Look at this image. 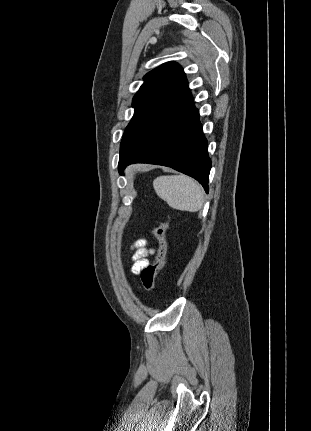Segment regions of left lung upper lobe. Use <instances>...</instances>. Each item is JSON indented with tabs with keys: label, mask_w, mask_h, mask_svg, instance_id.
<instances>
[{
	"label": "left lung upper lobe",
	"mask_w": 311,
	"mask_h": 431,
	"mask_svg": "<svg viewBox=\"0 0 311 431\" xmlns=\"http://www.w3.org/2000/svg\"><path fill=\"white\" fill-rule=\"evenodd\" d=\"M143 79L145 82L133 98L135 111L123 134L120 154L130 147L149 120L188 83L182 67L176 62L162 64Z\"/></svg>",
	"instance_id": "5c2ea615"
}]
</instances>
